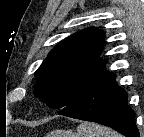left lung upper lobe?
Returning a JSON list of instances; mask_svg holds the SVG:
<instances>
[{
	"label": "left lung upper lobe",
	"instance_id": "1",
	"mask_svg": "<svg viewBox=\"0 0 144 137\" xmlns=\"http://www.w3.org/2000/svg\"><path fill=\"white\" fill-rule=\"evenodd\" d=\"M104 32L88 28L61 41L35 73L34 94L53 109H62L112 73L98 55Z\"/></svg>",
	"mask_w": 144,
	"mask_h": 137
}]
</instances>
